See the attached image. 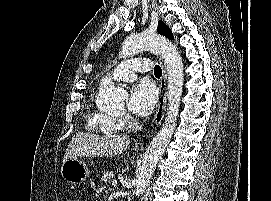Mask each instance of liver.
Instances as JSON below:
<instances>
[{
  "label": "liver",
  "instance_id": "1",
  "mask_svg": "<svg viewBox=\"0 0 271 201\" xmlns=\"http://www.w3.org/2000/svg\"><path fill=\"white\" fill-rule=\"evenodd\" d=\"M130 138L127 135L99 136L86 132H78L71 139L63 162L77 157H112L122 154L129 146Z\"/></svg>",
  "mask_w": 271,
  "mask_h": 201
}]
</instances>
